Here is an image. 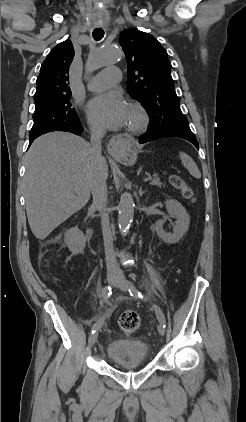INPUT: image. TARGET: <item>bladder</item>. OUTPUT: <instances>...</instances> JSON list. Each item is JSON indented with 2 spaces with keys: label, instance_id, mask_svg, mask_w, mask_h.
<instances>
[{
  "label": "bladder",
  "instance_id": "1",
  "mask_svg": "<svg viewBox=\"0 0 246 422\" xmlns=\"http://www.w3.org/2000/svg\"><path fill=\"white\" fill-rule=\"evenodd\" d=\"M106 354L111 362L121 367L145 364L148 360V347L135 339H113L107 343Z\"/></svg>",
  "mask_w": 246,
  "mask_h": 422
}]
</instances>
